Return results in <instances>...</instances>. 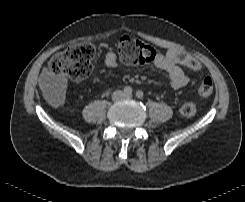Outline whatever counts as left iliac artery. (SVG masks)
<instances>
[{"label":"left iliac artery","instance_id":"obj_1","mask_svg":"<svg viewBox=\"0 0 245 202\" xmlns=\"http://www.w3.org/2000/svg\"><path fill=\"white\" fill-rule=\"evenodd\" d=\"M136 97H137L138 99H142V98L144 97L143 92H142V91H137V92H136Z\"/></svg>","mask_w":245,"mask_h":202}]
</instances>
